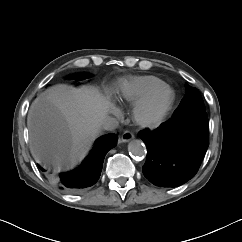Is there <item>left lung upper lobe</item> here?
<instances>
[{
  "label": "left lung upper lobe",
  "instance_id": "obj_1",
  "mask_svg": "<svg viewBox=\"0 0 242 242\" xmlns=\"http://www.w3.org/2000/svg\"><path fill=\"white\" fill-rule=\"evenodd\" d=\"M197 117H207L205 105L198 89L186 85V94L173 117L169 120L170 125L177 126Z\"/></svg>",
  "mask_w": 242,
  "mask_h": 242
}]
</instances>
